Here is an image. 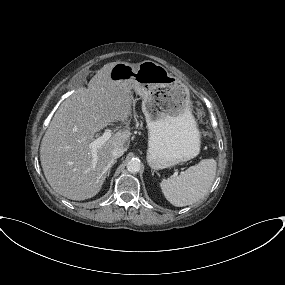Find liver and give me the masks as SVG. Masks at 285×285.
Wrapping results in <instances>:
<instances>
[{
    "mask_svg": "<svg viewBox=\"0 0 285 285\" xmlns=\"http://www.w3.org/2000/svg\"><path fill=\"white\" fill-rule=\"evenodd\" d=\"M118 62L104 65L88 89L80 87L63 101L42 139L40 161L47 182L68 199L81 201L98 194L114 160V148L129 147V130H119L97 149L93 167L88 145L95 134L114 122L129 124L135 109L132 87L110 79Z\"/></svg>",
    "mask_w": 285,
    "mask_h": 285,
    "instance_id": "6515ba94",
    "label": "liver"
}]
</instances>
